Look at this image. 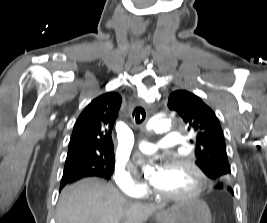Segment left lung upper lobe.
I'll return each instance as SVG.
<instances>
[{
	"label": "left lung upper lobe",
	"mask_w": 267,
	"mask_h": 223,
	"mask_svg": "<svg viewBox=\"0 0 267 223\" xmlns=\"http://www.w3.org/2000/svg\"><path fill=\"white\" fill-rule=\"evenodd\" d=\"M168 107L195 134L190 142L196 144V165L215 182H227L231 170L223 132L214 112L198 96L185 90L172 92Z\"/></svg>",
	"instance_id": "5c2ea615"
}]
</instances>
